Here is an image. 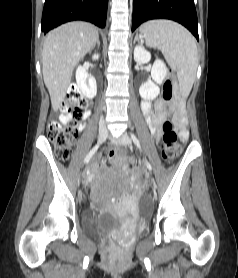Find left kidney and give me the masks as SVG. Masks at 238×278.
Returning a JSON list of instances; mask_svg holds the SVG:
<instances>
[{
    "label": "left kidney",
    "mask_w": 238,
    "mask_h": 278,
    "mask_svg": "<svg viewBox=\"0 0 238 278\" xmlns=\"http://www.w3.org/2000/svg\"><path fill=\"white\" fill-rule=\"evenodd\" d=\"M151 59V54L146 51L142 46H136L134 49V60L137 63H148ZM167 75V67L165 63L156 59L152 69H151V78L143 83L139 88V94L143 99L153 100L160 93L159 85L162 84L164 78Z\"/></svg>",
    "instance_id": "left-kidney-1"
}]
</instances>
